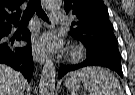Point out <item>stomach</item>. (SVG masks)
I'll use <instances>...</instances> for the list:
<instances>
[{"label":"stomach","mask_w":135,"mask_h":95,"mask_svg":"<svg viewBox=\"0 0 135 95\" xmlns=\"http://www.w3.org/2000/svg\"><path fill=\"white\" fill-rule=\"evenodd\" d=\"M65 86L71 91L75 92L80 88V80L77 77L71 76L65 81Z\"/></svg>","instance_id":"1"}]
</instances>
